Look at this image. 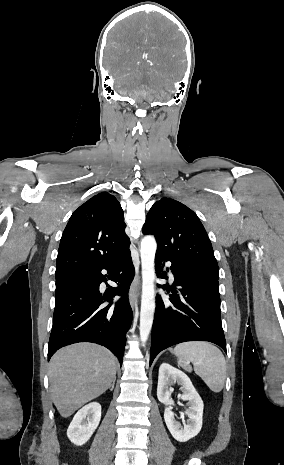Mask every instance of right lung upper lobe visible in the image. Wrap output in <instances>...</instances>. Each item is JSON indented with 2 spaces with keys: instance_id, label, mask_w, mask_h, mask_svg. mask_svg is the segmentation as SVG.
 <instances>
[{
  "instance_id": "obj_1",
  "label": "right lung upper lobe",
  "mask_w": 284,
  "mask_h": 465,
  "mask_svg": "<svg viewBox=\"0 0 284 465\" xmlns=\"http://www.w3.org/2000/svg\"><path fill=\"white\" fill-rule=\"evenodd\" d=\"M123 210L117 199L102 192L70 217L62 234L56 282L98 270L129 248Z\"/></svg>"
}]
</instances>
